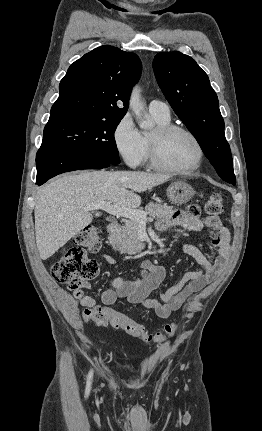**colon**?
I'll use <instances>...</instances> for the list:
<instances>
[{
  "mask_svg": "<svg viewBox=\"0 0 262 431\" xmlns=\"http://www.w3.org/2000/svg\"><path fill=\"white\" fill-rule=\"evenodd\" d=\"M198 212L196 205H190L188 213L195 215ZM204 212L208 217H218L223 212V200L219 193H212L206 200ZM73 245L66 247L61 257L52 265L51 272L54 278L65 285L70 291H75L94 279L99 272V265L87 257L85 251L97 252L102 246L98 239V229L95 225L88 226L73 239ZM87 321L97 324L107 323L113 329H119L135 336L146 343H163L172 338L178 331L177 323L165 326L163 332L149 334L144 327L128 316L120 313L110 317L102 316L100 310L92 317H86Z\"/></svg>",
  "mask_w": 262,
  "mask_h": 431,
  "instance_id": "obj_1",
  "label": "colon"
}]
</instances>
